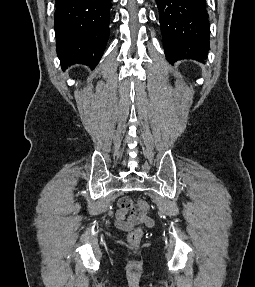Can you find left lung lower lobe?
<instances>
[{
  "label": "left lung lower lobe",
  "mask_w": 255,
  "mask_h": 287,
  "mask_svg": "<svg viewBox=\"0 0 255 287\" xmlns=\"http://www.w3.org/2000/svg\"><path fill=\"white\" fill-rule=\"evenodd\" d=\"M169 63L181 59L203 62L209 50L206 0H155Z\"/></svg>",
  "instance_id": "0a47b994"
}]
</instances>
